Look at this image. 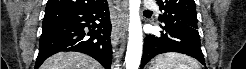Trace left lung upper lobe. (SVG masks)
I'll return each instance as SVG.
<instances>
[{
	"instance_id": "obj_1",
	"label": "left lung upper lobe",
	"mask_w": 246,
	"mask_h": 69,
	"mask_svg": "<svg viewBox=\"0 0 246 69\" xmlns=\"http://www.w3.org/2000/svg\"><path fill=\"white\" fill-rule=\"evenodd\" d=\"M164 14L159 20L166 25H181L197 29V13L194 0H157Z\"/></svg>"
}]
</instances>
